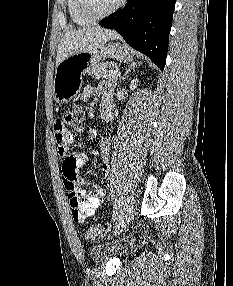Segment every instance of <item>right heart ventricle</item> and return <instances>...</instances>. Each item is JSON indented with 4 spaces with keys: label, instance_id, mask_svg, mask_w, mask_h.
<instances>
[{
    "label": "right heart ventricle",
    "instance_id": "right-heart-ventricle-1",
    "mask_svg": "<svg viewBox=\"0 0 233 286\" xmlns=\"http://www.w3.org/2000/svg\"><path fill=\"white\" fill-rule=\"evenodd\" d=\"M67 9L72 22L77 26H87L91 21L85 18L79 7V0H67Z\"/></svg>",
    "mask_w": 233,
    "mask_h": 286
}]
</instances>
